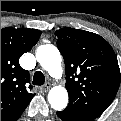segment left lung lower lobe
<instances>
[{"instance_id": "0a47b994", "label": "left lung lower lobe", "mask_w": 121, "mask_h": 121, "mask_svg": "<svg viewBox=\"0 0 121 121\" xmlns=\"http://www.w3.org/2000/svg\"><path fill=\"white\" fill-rule=\"evenodd\" d=\"M57 115L59 118H61L63 121H90L88 119L80 118L74 115H71L65 111L57 112Z\"/></svg>"}]
</instances>
